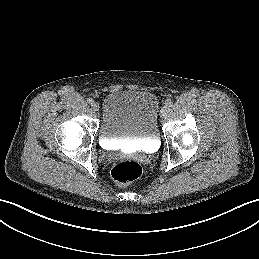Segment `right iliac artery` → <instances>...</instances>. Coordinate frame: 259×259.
<instances>
[{
    "instance_id": "obj_1",
    "label": "right iliac artery",
    "mask_w": 259,
    "mask_h": 259,
    "mask_svg": "<svg viewBox=\"0 0 259 259\" xmlns=\"http://www.w3.org/2000/svg\"><path fill=\"white\" fill-rule=\"evenodd\" d=\"M87 102H88L89 104H92V103L94 102V100H93L92 98H88V99H87Z\"/></svg>"
}]
</instances>
